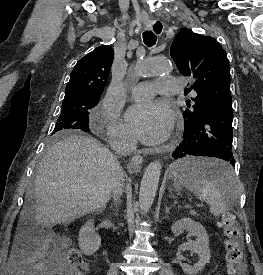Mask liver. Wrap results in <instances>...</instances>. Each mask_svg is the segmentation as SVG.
Wrapping results in <instances>:
<instances>
[{"mask_svg":"<svg viewBox=\"0 0 263 275\" xmlns=\"http://www.w3.org/2000/svg\"><path fill=\"white\" fill-rule=\"evenodd\" d=\"M119 163L94 138L67 135L45 153L35 179L34 219L43 226L103 211L112 193ZM29 211L25 205L20 220Z\"/></svg>","mask_w":263,"mask_h":275,"instance_id":"liver-1","label":"liver"}]
</instances>
